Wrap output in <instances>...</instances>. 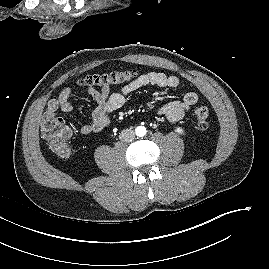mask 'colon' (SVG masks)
Returning <instances> with one entry per match:
<instances>
[{
  "label": "colon",
  "mask_w": 269,
  "mask_h": 269,
  "mask_svg": "<svg viewBox=\"0 0 269 269\" xmlns=\"http://www.w3.org/2000/svg\"><path fill=\"white\" fill-rule=\"evenodd\" d=\"M137 77L135 70L111 72L104 75L86 76L78 81L80 87L105 88L121 85L133 81ZM195 123L199 130L208 128L209 109L207 106H199L195 110ZM42 136L51 145L52 149L61 156H67L70 148L67 143L66 127L61 118L46 114L41 123Z\"/></svg>",
  "instance_id": "obj_1"
}]
</instances>
